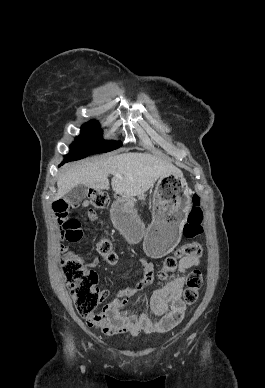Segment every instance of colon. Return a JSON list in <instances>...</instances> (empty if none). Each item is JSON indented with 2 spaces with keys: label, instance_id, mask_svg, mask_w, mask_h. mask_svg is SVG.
<instances>
[{
  "label": "colon",
  "instance_id": "1",
  "mask_svg": "<svg viewBox=\"0 0 265 388\" xmlns=\"http://www.w3.org/2000/svg\"><path fill=\"white\" fill-rule=\"evenodd\" d=\"M90 202L96 208H103L109 202L106 192L95 190L90 193ZM193 206L183 228V235L186 238H196L203 233V212L200 207V197L197 194L192 196ZM54 210L61 224L62 238L67 242H76L81 239L82 231L80 223L68 216L69 204L65 201H58ZM98 251L104 260L110 264L117 259L113 243L109 238H103L98 243ZM203 247L200 243L192 242L181 246L173 255L166 257L158 273L160 281L167 280L177 269L178 261L184 257H200ZM63 274L67 287L73 297L78 313L90 324L102 323V313L96 311L100 302V294L97 289V273L75 258H65L62 261ZM203 285V276L200 270L192 271L186 280V287L183 292V301L186 305L195 304L199 298V292Z\"/></svg>",
  "mask_w": 265,
  "mask_h": 388
}]
</instances>
